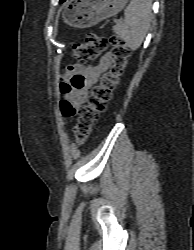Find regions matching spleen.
Segmentation results:
<instances>
[{"mask_svg": "<svg viewBox=\"0 0 194 250\" xmlns=\"http://www.w3.org/2000/svg\"><path fill=\"white\" fill-rule=\"evenodd\" d=\"M124 23L117 24L113 31L132 50L138 49L147 34L152 20L151 0H131L124 12Z\"/></svg>", "mask_w": 194, "mask_h": 250, "instance_id": "3e777b00", "label": "spleen"}]
</instances>
